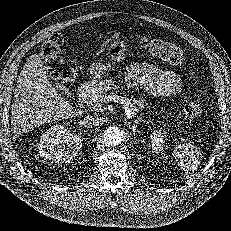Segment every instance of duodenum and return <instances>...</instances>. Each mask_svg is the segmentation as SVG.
<instances>
[{
    "label": "duodenum",
    "mask_w": 231,
    "mask_h": 231,
    "mask_svg": "<svg viewBox=\"0 0 231 231\" xmlns=\"http://www.w3.org/2000/svg\"><path fill=\"white\" fill-rule=\"evenodd\" d=\"M91 90H92L91 82L82 83L77 89V94L80 100L85 99L91 93Z\"/></svg>",
    "instance_id": "410a0bca"
}]
</instances>
